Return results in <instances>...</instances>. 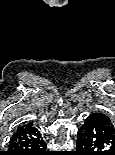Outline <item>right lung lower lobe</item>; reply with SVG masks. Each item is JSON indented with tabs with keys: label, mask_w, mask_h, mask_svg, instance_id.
<instances>
[{
	"label": "right lung lower lobe",
	"mask_w": 115,
	"mask_h": 155,
	"mask_svg": "<svg viewBox=\"0 0 115 155\" xmlns=\"http://www.w3.org/2000/svg\"><path fill=\"white\" fill-rule=\"evenodd\" d=\"M40 132L31 127L16 132L9 141V150L6 155H50Z\"/></svg>",
	"instance_id": "obj_1"
}]
</instances>
